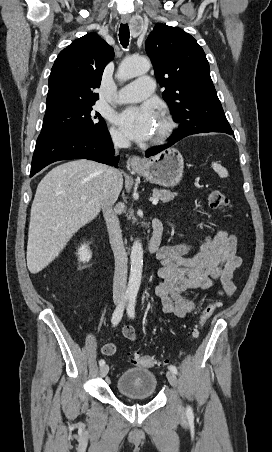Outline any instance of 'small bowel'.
Instances as JSON below:
<instances>
[{
	"label": "small bowel",
	"instance_id": "c3829d8e",
	"mask_svg": "<svg viewBox=\"0 0 272 452\" xmlns=\"http://www.w3.org/2000/svg\"><path fill=\"white\" fill-rule=\"evenodd\" d=\"M192 248L190 243H180L164 246L158 252L160 282L155 287V293L162 302L165 314L185 317L193 312L197 303L187 294L194 289H210L219 282L221 289L217 294L230 296L235 290L233 277L242 265L235 235L218 231L206 237L192 256H187ZM122 334L130 341L136 340L132 326H124ZM116 350L113 343L102 346V353L107 356L114 355Z\"/></svg>",
	"mask_w": 272,
	"mask_h": 452
}]
</instances>
